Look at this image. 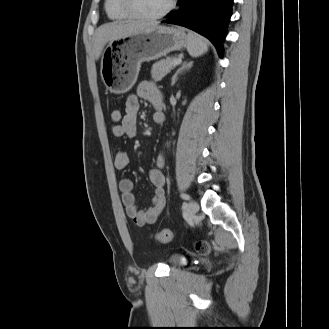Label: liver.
<instances>
[{
  "label": "liver",
  "instance_id": "6515ba94",
  "mask_svg": "<svg viewBox=\"0 0 329 329\" xmlns=\"http://www.w3.org/2000/svg\"><path fill=\"white\" fill-rule=\"evenodd\" d=\"M157 24H146L138 22H113L101 25L95 32L93 52L96 60L102 54L105 45L123 36H128L142 31H148L156 27Z\"/></svg>",
  "mask_w": 329,
  "mask_h": 329
}]
</instances>
